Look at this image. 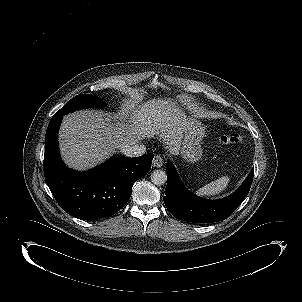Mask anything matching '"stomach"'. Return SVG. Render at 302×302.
I'll return each instance as SVG.
<instances>
[{
    "instance_id": "obj_1",
    "label": "stomach",
    "mask_w": 302,
    "mask_h": 302,
    "mask_svg": "<svg viewBox=\"0 0 302 302\" xmlns=\"http://www.w3.org/2000/svg\"><path fill=\"white\" fill-rule=\"evenodd\" d=\"M205 136L204 125L196 119H186L183 127V140L180 155L184 161L193 164L202 157L201 142Z\"/></svg>"
}]
</instances>
